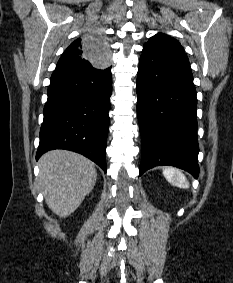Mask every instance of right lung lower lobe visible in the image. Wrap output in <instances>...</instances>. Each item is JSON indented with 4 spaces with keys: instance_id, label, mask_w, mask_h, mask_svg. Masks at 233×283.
Segmentation results:
<instances>
[{
    "instance_id": "98d812e1",
    "label": "right lung lower lobe",
    "mask_w": 233,
    "mask_h": 283,
    "mask_svg": "<svg viewBox=\"0 0 233 283\" xmlns=\"http://www.w3.org/2000/svg\"><path fill=\"white\" fill-rule=\"evenodd\" d=\"M111 67L56 69L48 87L36 160L53 149L78 152L106 172Z\"/></svg>"
}]
</instances>
